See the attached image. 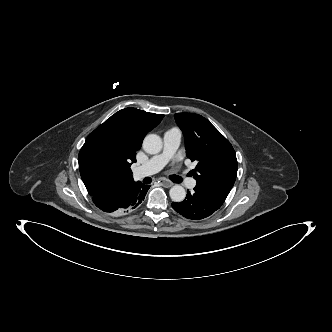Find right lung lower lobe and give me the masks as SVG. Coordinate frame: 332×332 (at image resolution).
Segmentation results:
<instances>
[{
	"label": "right lung lower lobe",
	"instance_id": "98d812e1",
	"mask_svg": "<svg viewBox=\"0 0 332 332\" xmlns=\"http://www.w3.org/2000/svg\"><path fill=\"white\" fill-rule=\"evenodd\" d=\"M149 187L141 182H131L92 195V200L102 211L114 214L128 213L144 200Z\"/></svg>",
	"mask_w": 332,
	"mask_h": 332
}]
</instances>
